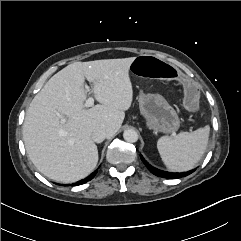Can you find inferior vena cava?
Listing matches in <instances>:
<instances>
[{"label": "inferior vena cava", "instance_id": "602c4592", "mask_svg": "<svg viewBox=\"0 0 241 241\" xmlns=\"http://www.w3.org/2000/svg\"><path fill=\"white\" fill-rule=\"evenodd\" d=\"M106 138V132L103 129H97L92 134V139L96 143H101Z\"/></svg>", "mask_w": 241, "mask_h": 241}]
</instances>
